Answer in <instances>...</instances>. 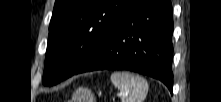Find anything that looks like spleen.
Instances as JSON below:
<instances>
[{
	"instance_id": "spleen-1",
	"label": "spleen",
	"mask_w": 221,
	"mask_h": 102,
	"mask_svg": "<svg viewBox=\"0 0 221 102\" xmlns=\"http://www.w3.org/2000/svg\"><path fill=\"white\" fill-rule=\"evenodd\" d=\"M111 82L119 90L122 102H143L148 93L147 81L129 72H114Z\"/></svg>"
}]
</instances>
